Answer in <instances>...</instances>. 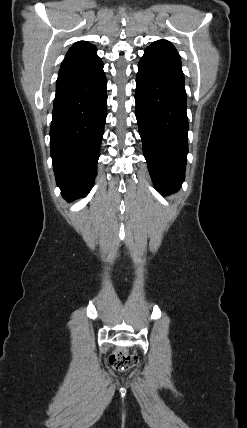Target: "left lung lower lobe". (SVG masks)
I'll list each match as a JSON object with an SVG mask.
<instances>
[{"mask_svg":"<svg viewBox=\"0 0 247 428\" xmlns=\"http://www.w3.org/2000/svg\"><path fill=\"white\" fill-rule=\"evenodd\" d=\"M136 118L156 189L179 190L188 153L186 92L180 57L147 47L138 64Z\"/></svg>","mask_w":247,"mask_h":428,"instance_id":"0a47b994","label":"left lung lower lobe"}]
</instances>
